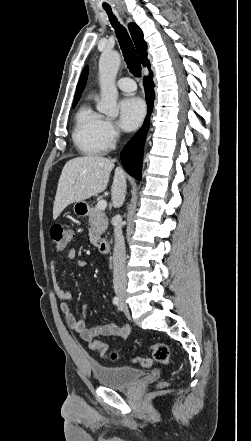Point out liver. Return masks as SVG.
Returning a JSON list of instances; mask_svg holds the SVG:
<instances>
[{
  "instance_id": "liver-1",
  "label": "liver",
  "mask_w": 251,
  "mask_h": 441,
  "mask_svg": "<svg viewBox=\"0 0 251 441\" xmlns=\"http://www.w3.org/2000/svg\"><path fill=\"white\" fill-rule=\"evenodd\" d=\"M114 162L98 155L76 157L69 160L60 175L53 206V219L74 202L84 201L103 192L109 182ZM126 192V178L122 168L115 169L111 195L113 204L123 203Z\"/></svg>"
}]
</instances>
